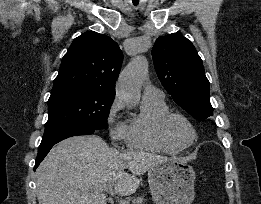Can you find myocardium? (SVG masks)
<instances>
[{
    "label": "myocardium",
    "instance_id": "obj_1",
    "mask_svg": "<svg viewBox=\"0 0 261 204\" xmlns=\"http://www.w3.org/2000/svg\"><path fill=\"white\" fill-rule=\"evenodd\" d=\"M176 120L181 121L184 124H186L192 132V140L186 145H180L172 136L170 128H171V124ZM159 130H160V134L162 135V137L170 145H172L173 147H175L178 150H184V149L189 148L197 140V132H196V129H195L194 125L192 124V122L185 115L178 113V112H169L165 116H163L159 123Z\"/></svg>",
    "mask_w": 261,
    "mask_h": 204
}]
</instances>
